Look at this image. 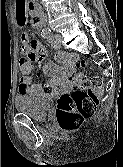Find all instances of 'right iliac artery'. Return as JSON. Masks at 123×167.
I'll return each instance as SVG.
<instances>
[{"label": "right iliac artery", "mask_w": 123, "mask_h": 167, "mask_svg": "<svg viewBox=\"0 0 123 167\" xmlns=\"http://www.w3.org/2000/svg\"><path fill=\"white\" fill-rule=\"evenodd\" d=\"M48 31H49V30H45V31H43L42 35L47 34V33H48Z\"/></svg>", "instance_id": "obj_1"}]
</instances>
